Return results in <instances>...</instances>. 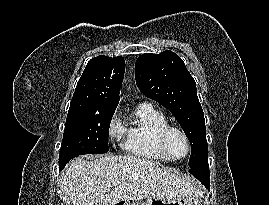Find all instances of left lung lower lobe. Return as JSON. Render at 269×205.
I'll return each mask as SVG.
<instances>
[{
  "mask_svg": "<svg viewBox=\"0 0 269 205\" xmlns=\"http://www.w3.org/2000/svg\"><path fill=\"white\" fill-rule=\"evenodd\" d=\"M189 172L195 176L206 188L209 189V165L208 161L197 165L196 167L190 168Z\"/></svg>",
  "mask_w": 269,
  "mask_h": 205,
  "instance_id": "0a47b994",
  "label": "left lung lower lobe"
}]
</instances>
